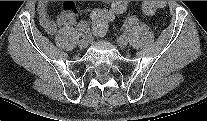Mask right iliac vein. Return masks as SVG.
<instances>
[{"label":"right iliac vein","mask_w":207,"mask_h":121,"mask_svg":"<svg viewBox=\"0 0 207 121\" xmlns=\"http://www.w3.org/2000/svg\"><path fill=\"white\" fill-rule=\"evenodd\" d=\"M87 45H88V41L85 38L81 39L78 43L80 49H85Z\"/></svg>","instance_id":"63e3f726"}]
</instances>
